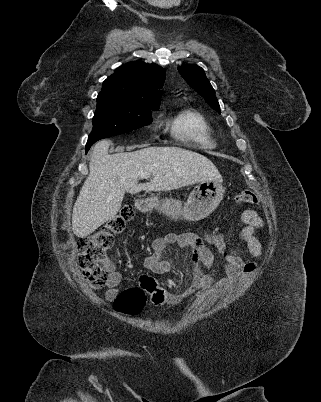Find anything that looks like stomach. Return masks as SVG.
I'll return each mask as SVG.
<instances>
[{
	"instance_id": "1",
	"label": "stomach",
	"mask_w": 321,
	"mask_h": 402,
	"mask_svg": "<svg viewBox=\"0 0 321 402\" xmlns=\"http://www.w3.org/2000/svg\"><path fill=\"white\" fill-rule=\"evenodd\" d=\"M224 193L225 189L221 180H208L194 188L183 207L181 202L172 198L159 200L158 197H151L149 204L171 219L199 221L217 208Z\"/></svg>"
}]
</instances>
